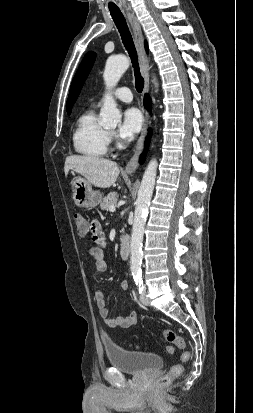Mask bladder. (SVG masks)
Segmentation results:
<instances>
[{
    "mask_svg": "<svg viewBox=\"0 0 253 413\" xmlns=\"http://www.w3.org/2000/svg\"><path fill=\"white\" fill-rule=\"evenodd\" d=\"M105 355L114 368L133 375H140L163 365V358L155 353L134 351L113 342H103Z\"/></svg>",
    "mask_w": 253,
    "mask_h": 413,
    "instance_id": "31cf9c89",
    "label": "bladder"
}]
</instances>
